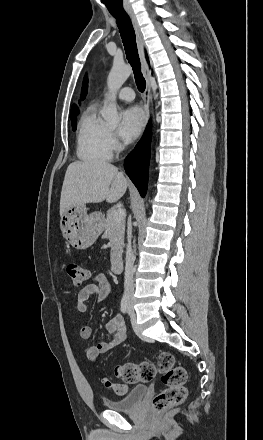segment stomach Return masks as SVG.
<instances>
[{"mask_svg": "<svg viewBox=\"0 0 263 440\" xmlns=\"http://www.w3.org/2000/svg\"><path fill=\"white\" fill-rule=\"evenodd\" d=\"M63 236L76 249L90 247L101 234L104 221L99 213H87L85 205L70 206L61 216Z\"/></svg>", "mask_w": 263, "mask_h": 440, "instance_id": "stomach-1", "label": "stomach"}]
</instances>
